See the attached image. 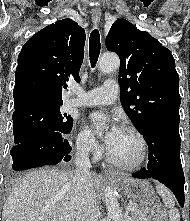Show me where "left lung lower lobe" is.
<instances>
[{"label":"left lung lower lobe","mask_w":190,"mask_h":221,"mask_svg":"<svg viewBox=\"0 0 190 221\" xmlns=\"http://www.w3.org/2000/svg\"><path fill=\"white\" fill-rule=\"evenodd\" d=\"M149 148L148 168L133 173L134 178H154L167 186L184 206V173L180 160L179 123L161 120L141 133Z\"/></svg>","instance_id":"1"}]
</instances>
